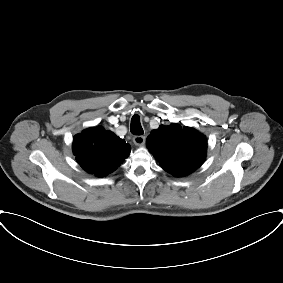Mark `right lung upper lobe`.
<instances>
[{"instance_id":"obj_1","label":"right lung upper lobe","mask_w":283,"mask_h":283,"mask_svg":"<svg viewBox=\"0 0 283 283\" xmlns=\"http://www.w3.org/2000/svg\"><path fill=\"white\" fill-rule=\"evenodd\" d=\"M131 147L102 126L86 129L73 141V152L80 166L91 174L104 177L117 169L130 154Z\"/></svg>"}]
</instances>
